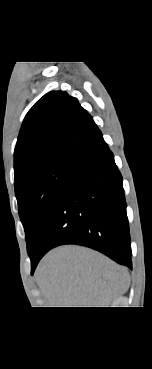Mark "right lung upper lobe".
I'll return each mask as SVG.
<instances>
[{"label": "right lung upper lobe", "mask_w": 152, "mask_h": 369, "mask_svg": "<svg viewBox=\"0 0 152 369\" xmlns=\"http://www.w3.org/2000/svg\"><path fill=\"white\" fill-rule=\"evenodd\" d=\"M100 138L101 131L76 98L62 91L45 94L24 118L14 151V184L54 162H74Z\"/></svg>", "instance_id": "obj_1"}]
</instances>
